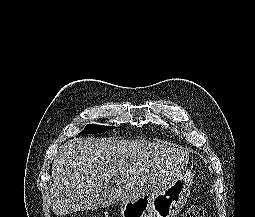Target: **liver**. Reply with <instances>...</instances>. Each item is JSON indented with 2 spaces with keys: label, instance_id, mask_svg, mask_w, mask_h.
<instances>
[{
  "label": "liver",
  "instance_id": "6515ba94",
  "mask_svg": "<svg viewBox=\"0 0 255 217\" xmlns=\"http://www.w3.org/2000/svg\"><path fill=\"white\" fill-rule=\"evenodd\" d=\"M189 163V152L144 140L73 138L52 165L51 206L57 216L130 202L163 186ZM111 178L116 187L109 186Z\"/></svg>",
  "mask_w": 255,
  "mask_h": 217
}]
</instances>
